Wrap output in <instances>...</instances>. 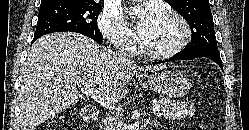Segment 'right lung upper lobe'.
Segmentation results:
<instances>
[{"label": "right lung upper lobe", "instance_id": "cb5924a9", "mask_svg": "<svg viewBox=\"0 0 249 130\" xmlns=\"http://www.w3.org/2000/svg\"><path fill=\"white\" fill-rule=\"evenodd\" d=\"M62 1H65V0H42L40 6L49 5V4H55V3H60ZM90 1H94V0H90Z\"/></svg>", "mask_w": 249, "mask_h": 130}]
</instances>
